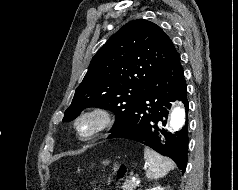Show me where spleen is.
<instances>
[{
  "label": "spleen",
  "instance_id": "obj_1",
  "mask_svg": "<svg viewBox=\"0 0 238 190\" xmlns=\"http://www.w3.org/2000/svg\"><path fill=\"white\" fill-rule=\"evenodd\" d=\"M144 159L149 165L146 171V176L149 180L164 177L170 170L175 168V164L171 159L161 156L148 147L144 149Z\"/></svg>",
  "mask_w": 238,
  "mask_h": 190
}]
</instances>
